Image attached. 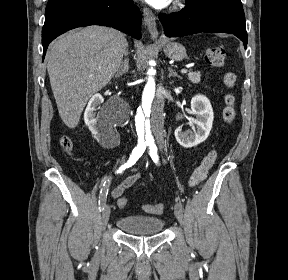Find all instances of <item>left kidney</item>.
<instances>
[{
	"instance_id": "5707ae66",
	"label": "left kidney",
	"mask_w": 288,
	"mask_h": 280,
	"mask_svg": "<svg viewBox=\"0 0 288 280\" xmlns=\"http://www.w3.org/2000/svg\"><path fill=\"white\" fill-rule=\"evenodd\" d=\"M191 110L196 117L189 120L192 130L183 131L182 126H178L174 132L177 142L185 148L204 142L209 136L214 119L211 103L204 95H195L191 99Z\"/></svg>"
}]
</instances>
